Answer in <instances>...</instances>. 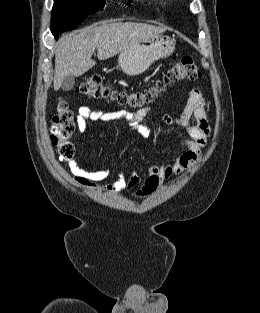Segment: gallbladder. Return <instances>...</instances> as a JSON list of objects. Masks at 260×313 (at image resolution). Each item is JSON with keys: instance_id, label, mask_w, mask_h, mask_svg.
<instances>
[{"instance_id": "obj_1", "label": "gallbladder", "mask_w": 260, "mask_h": 313, "mask_svg": "<svg viewBox=\"0 0 260 313\" xmlns=\"http://www.w3.org/2000/svg\"><path fill=\"white\" fill-rule=\"evenodd\" d=\"M75 83V77L74 76H67L64 78L61 88L63 91H69L73 88Z\"/></svg>"}]
</instances>
